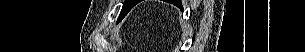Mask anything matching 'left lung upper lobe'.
<instances>
[{"mask_svg":"<svg viewBox=\"0 0 305 52\" xmlns=\"http://www.w3.org/2000/svg\"><path fill=\"white\" fill-rule=\"evenodd\" d=\"M136 2L137 0H125L118 19L122 20L126 14L136 5ZM171 3L181 5V3H176L174 1H171Z\"/></svg>","mask_w":305,"mask_h":52,"instance_id":"5c2ea615","label":"left lung upper lobe"}]
</instances>
